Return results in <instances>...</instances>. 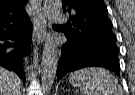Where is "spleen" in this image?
<instances>
[{
  "mask_svg": "<svg viewBox=\"0 0 135 95\" xmlns=\"http://www.w3.org/2000/svg\"><path fill=\"white\" fill-rule=\"evenodd\" d=\"M69 82L81 95H123L117 79L103 68H84L70 73Z\"/></svg>",
  "mask_w": 135,
  "mask_h": 95,
  "instance_id": "obj_1",
  "label": "spleen"
}]
</instances>
